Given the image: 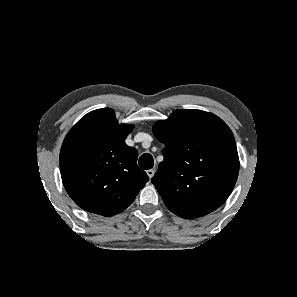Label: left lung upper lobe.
<instances>
[{"instance_id":"5c2ea615","label":"left lung upper lobe","mask_w":297,"mask_h":297,"mask_svg":"<svg viewBox=\"0 0 297 297\" xmlns=\"http://www.w3.org/2000/svg\"><path fill=\"white\" fill-rule=\"evenodd\" d=\"M153 132L165 148L152 178L167 208L193 219L209 214L231 194L239 173L232 131L212 113L180 109Z\"/></svg>"}]
</instances>
